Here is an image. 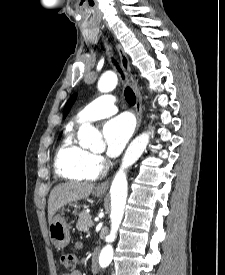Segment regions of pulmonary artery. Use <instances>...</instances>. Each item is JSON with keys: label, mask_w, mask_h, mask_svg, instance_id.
<instances>
[{"label": "pulmonary artery", "mask_w": 225, "mask_h": 275, "mask_svg": "<svg viewBox=\"0 0 225 275\" xmlns=\"http://www.w3.org/2000/svg\"><path fill=\"white\" fill-rule=\"evenodd\" d=\"M118 110L116 99L111 94H104L92 102H90L85 108H83L76 115V122L83 124L92 122L103 117L110 116L116 113Z\"/></svg>", "instance_id": "pulmonary-artery-1"}]
</instances>
